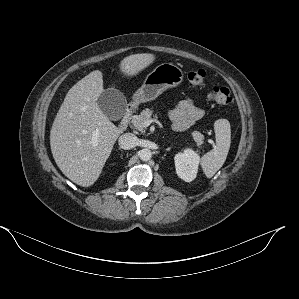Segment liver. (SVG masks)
<instances>
[{"label":"liver","mask_w":299,"mask_h":299,"mask_svg":"<svg viewBox=\"0 0 299 299\" xmlns=\"http://www.w3.org/2000/svg\"><path fill=\"white\" fill-rule=\"evenodd\" d=\"M150 53L125 57L119 65L127 77L136 76L155 60ZM103 74L95 70L78 81L67 93L50 131L53 158L62 173L82 187L99 178L114 143L122 130L98 107Z\"/></svg>","instance_id":"1"}]
</instances>
